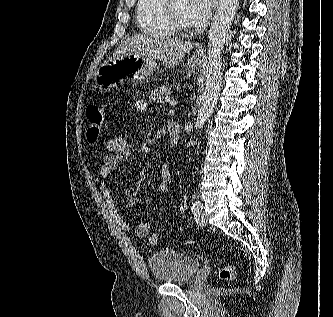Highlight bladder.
<instances>
[{"label":"bladder","mask_w":333,"mask_h":317,"mask_svg":"<svg viewBox=\"0 0 333 317\" xmlns=\"http://www.w3.org/2000/svg\"><path fill=\"white\" fill-rule=\"evenodd\" d=\"M148 267L159 282L184 284L195 278L201 268V262L192 256L166 248L148 258Z\"/></svg>","instance_id":"bladder-1"}]
</instances>
